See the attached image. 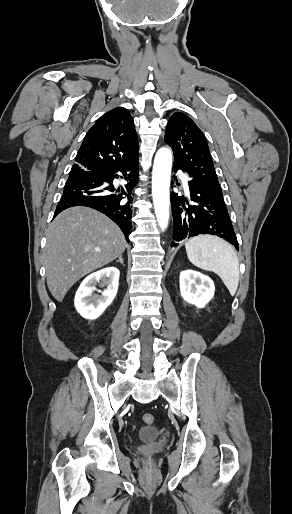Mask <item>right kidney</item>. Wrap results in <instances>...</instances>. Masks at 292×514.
<instances>
[{
  "mask_svg": "<svg viewBox=\"0 0 292 514\" xmlns=\"http://www.w3.org/2000/svg\"><path fill=\"white\" fill-rule=\"evenodd\" d=\"M119 276V270L113 268V266L111 268H103V270L87 276L75 294L74 306L77 312L83 318H87V320L99 318L104 310L112 304L118 292ZM97 282H100L101 288L103 286H107V288L103 292L97 290L95 288ZM94 292H99L101 296L94 294Z\"/></svg>",
  "mask_w": 292,
  "mask_h": 514,
  "instance_id": "obj_1",
  "label": "right kidney"
}]
</instances>
